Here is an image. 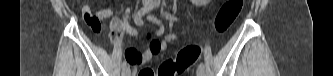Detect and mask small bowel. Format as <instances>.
<instances>
[{"label":"small bowel","instance_id":"obj_1","mask_svg":"<svg viewBox=\"0 0 333 76\" xmlns=\"http://www.w3.org/2000/svg\"><path fill=\"white\" fill-rule=\"evenodd\" d=\"M82 15L84 21L89 25V27L95 33H99L101 31V20L109 19L108 29L109 35L111 38V43L113 45H118L120 42L121 32L124 31L131 36H137L138 31L133 28L129 24V20L133 17L135 23L139 26L143 25L142 19L139 17H134V15L130 12L126 13L122 19L119 17L113 16V10L111 7H106L96 12L92 13L89 5L82 6ZM147 18L157 25L154 33L156 36H160L163 34V25L157 18L153 16H147ZM178 41V37L175 34H168L162 40L153 37L149 41L148 48L145 52L140 55V48L135 47L134 44H129L127 46L126 56L128 61L137 68L138 66H143L151 61L156 55L160 52L165 51L168 48V44L170 42ZM145 69V68H143Z\"/></svg>","mask_w":333,"mask_h":76}]
</instances>
